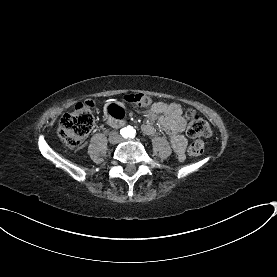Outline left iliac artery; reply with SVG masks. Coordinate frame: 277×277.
Segmentation results:
<instances>
[{"mask_svg": "<svg viewBox=\"0 0 277 277\" xmlns=\"http://www.w3.org/2000/svg\"><path fill=\"white\" fill-rule=\"evenodd\" d=\"M134 135H135V130L131 129V130L129 131V136H130V137H134Z\"/></svg>", "mask_w": 277, "mask_h": 277, "instance_id": "44dca946", "label": "left iliac artery"}]
</instances>
